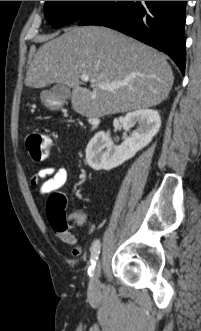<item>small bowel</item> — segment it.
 Here are the masks:
<instances>
[{
  "mask_svg": "<svg viewBox=\"0 0 201 331\" xmlns=\"http://www.w3.org/2000/svg\"><path fill=\"white\" fill-rule=\"evenodd\" d=\"M68 168L47 166L40 169L31 179L32 185H38L39 193L42 195L55 193L67 182ZM57 237L65 244L72 247V253L79 255L81 247L77 245L76 235L66 227L55 228Z\"/></svg>",
  "mask_w": 201,
  "mask_h": 331,
  "instance_id": "obj_1",
  "label": "small bowel"
}]
</instances>
